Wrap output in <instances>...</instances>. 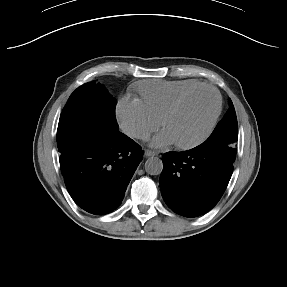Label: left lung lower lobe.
Segmentation results:
<instances>
[{"mask_svg":"<svg viewBox=\"0 0 287 287\" xmlns=\"http://www.w3.org/2000/svg\"><path fill=\"white\" fill-rule=\"evenodd\" d=\"M160 189L166 204L186 217L202 215L223 195L232 163L219 151L201 144L183 152L170 151L162 159Z\"/></svg>","mask_w":287,"mask_h":287,"instance_id":"0a47b994","label":"left lung lower lobe"}]
</instances>
